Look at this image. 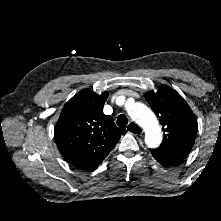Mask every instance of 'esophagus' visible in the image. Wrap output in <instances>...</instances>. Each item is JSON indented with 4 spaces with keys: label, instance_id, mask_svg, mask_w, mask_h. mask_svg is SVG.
Wrapping results in <instances>:
<instances>
[{
    "label": "esophagus",
    "instance_id": "esophagus-1",
    "mask_svg": "<svg viewBox=\"0 0 221 221\" xmlns=\"http://www.w3.org/2000/svg\"><path fill=\"white\" fill-rule=\"evenodd\" d=\"M126 129L133 135H141L143 133L142 128L139 127L135 122H130Z\"/></svg>",
    "mask_w": 221,
    "mask_h": 221
}]
</instances>
